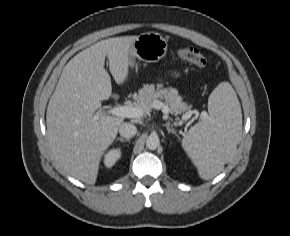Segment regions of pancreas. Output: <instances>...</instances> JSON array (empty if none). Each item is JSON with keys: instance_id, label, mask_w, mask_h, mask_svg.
Returning a JSON list of instances; mask_svg holds the SVG:
<instances>
[{"instance_id": "1", "label": "pancreas", "mask_w": 290, "mask_h": 236, "mask_svg": "<svg viewBox=\"0 0 290 236\" xmlns=\"http://www.w3.org/2000/svg\"><path fill=\"white\" fill-rule=\"evenodd\" d=\"M163 99L165 104L169 107L170 113L178 115L190 107L182 101V97L178 95V90L175 88H164L162 85H144L136 98L135 105L142 107L145 112L152 109V104L155 100Z\"/></svg>"}]
</instances>
